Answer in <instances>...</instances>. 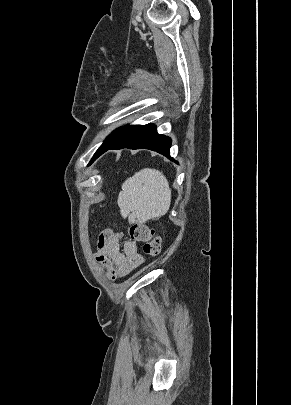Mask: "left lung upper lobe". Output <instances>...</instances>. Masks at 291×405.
I'll return each instance as SVG.
<instances>
[{
    "instance_id": "5c2ea615",
    "label": "left lung upper lobe",
    "mask_w": 291,
    "mask_h": 405,
    "mask_svg": "<svg viewBox=\"0 0 291 405\" xmlns=\"http://www.w3.org/2000/svg\"><path fill=\"white\" fill-rule=\"evenodd\" d=\"M126 128H127V127H121V128L116 129V130L104 141V143L100 146V148L97 150V152H98L99 150H101L102 148H104V147H106V146H108V145L114 143V142L124 133V131L126 130ZM97 152H96V153H97ZM96 153H95V155H96ZM95 155H94V156H95ZM94 156H93L91 162L94 160ZM91 162H90V163H91Z\"/></svg>"
}]
</instances>
